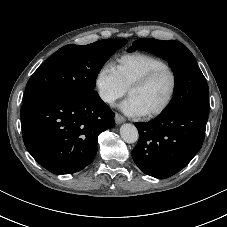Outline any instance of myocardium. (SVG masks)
<instances>
[{"label": "myocardium", "mask_w": 227, "mask_h": 227, "mask_svg": "<svg viewBox=\"0 0 227 227\" xmlns=\"http://www.w3.org/2000/svg\"><path fill=\"white\" fill-rule=\"evenodd\" d=\"M162 72H168L172 78L171 91H170L169 96L166 99V101L159 108H157L156 110H154L152 112L143 114V116L145 118H154V117L160 116L170 107V105L172 104V102L175 98L177 88H178V77H177L176 72L168 65L163 66V67H158V68H155V69L147 72L142 77H140L136 81H134L128 87V94L130 95L132 90L146 86L149 82H151L157 75H159Z\"/></svg>", "instance_id": "1"}]
</instances>
